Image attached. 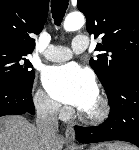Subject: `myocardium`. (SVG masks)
Listing matches in <instances>:
<instances>
[{"label": "myocardium", "instance_id": "f54148a6", "mask_svg": "<svg viewBox=\"0 0 139 150\" xmlns=\"http://www.w3.org/2000/svg\"><path fill=\"white\" fill-rule=\"evenodd\" d=\"M98 109L94 113L79 112V118L82 122L89 125H98L107 120L111 112V106L108 98L102 94L97 96Z\"/></svg>", "mask_w": 139, "mask_h": 150}]
</instances>
